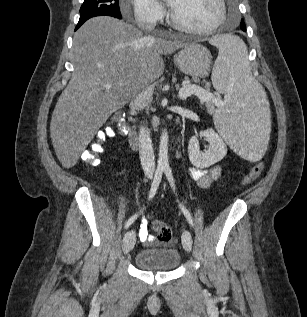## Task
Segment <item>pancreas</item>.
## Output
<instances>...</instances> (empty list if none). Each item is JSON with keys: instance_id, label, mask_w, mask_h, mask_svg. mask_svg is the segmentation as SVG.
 Returning <instances> with one entry per match:
<instances>
[{"instance_id": "pancreas-1", "label": "pancreas", "mask_w": 307, "mask_h": 317, "mask_svg": "<svg viewBox=\"0 0 307 317\" xmlns=\"http://www.w3.org/2000/svg\"><path fill=\"white\" fill-rule=\"evenodd\" d=\"M201 102H205L206 108H207L209 113H212L214 111V107H213V104H212L211 101H203V100H201Z\"/></svg>"}]
</instances>
